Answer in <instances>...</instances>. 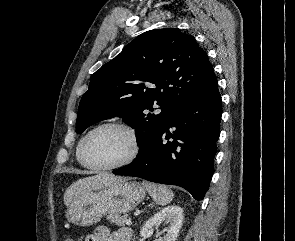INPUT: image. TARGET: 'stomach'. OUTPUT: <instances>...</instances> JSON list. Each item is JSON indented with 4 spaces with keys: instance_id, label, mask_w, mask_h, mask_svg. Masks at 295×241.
Listing matches in <instances>:
<instances>
[{
    "instance_id": "stomach-1",
    "label": "stomach",
    "mask_w": 295,
    "mask_h": 241,
    "mask_svg": "<svg viewBox=\"0 0 295 241\" xmlns=\"http://www.w3.org/2000/svg\"><path fill=\"white\" fill-rule=\"evenodd\" d=\"M145 194V188L138 182L122 179L74 198L66 218L78 226H91L107 214L128 213L145 198Z\"/></svg>"
}]
</instances>
